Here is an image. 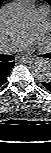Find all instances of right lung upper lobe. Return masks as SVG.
I'll return each mask as SVG.
<instances>
[{"label":"right lung upper lobe","instance_id":"obj_1","mask_svg":"<svg viewBox=\"0 0 51 153\" xmlns=\"http://www.w3.org/2000/svg\"><path fill=\"white\" fill-rule=\"evenodd\" d=\"M4 0H0V5H1V3L3 2ZM1 63V62H0Z\"/></svg>","mask_w":51,"mask_h":153}]
</instances>
